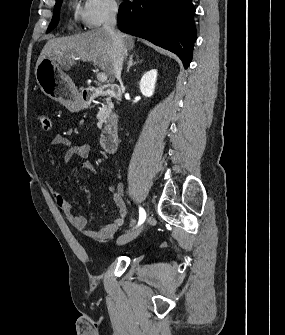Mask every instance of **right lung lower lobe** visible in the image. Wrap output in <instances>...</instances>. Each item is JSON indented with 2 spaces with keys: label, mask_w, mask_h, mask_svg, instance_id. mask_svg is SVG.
<instances>
[{
  "label": "right lung lower lobe",
  "mask_w": 285,
  "mask_h": 335,
  "mask_svg": "<svg viewBox=\"0 0 285 335\" xmlns=\"http://www.w3.org/2000/svg\"><path fill=\"white\" fill-rule=\"evenodd\" d=\"M192 0H134L119 7L118 24L128 34L174 52L187 68L196 40Z\"/></svg>",
  "instance_id": "right-lung-lower-lobe-1"
}]
</instances>
